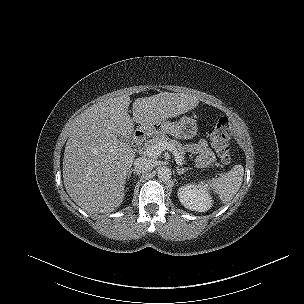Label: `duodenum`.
Returning <instances> with one entry per match:
<instances>
[{"label":"duodenum","mask_w":304,"mask_h":304,"mask_svg":"<svg viewBox=\"0 0 304 304\" xmlns=\"http://www.w3.org/2000/svg\"><path fill=\"white\" fill-rule=\"evenodd\" d=\"M145 137H146L145 132L138 130L134 133L133 140L136 144H140L141 142L144 141Z\"/></svg>","instance_id":"1"}]
</instances>
